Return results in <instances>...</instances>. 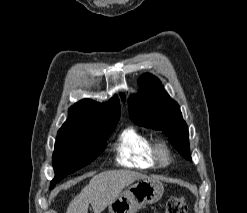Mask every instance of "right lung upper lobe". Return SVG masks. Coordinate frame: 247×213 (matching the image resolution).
Here are the masks:
<instances>
[{
    "label": "right lung upper lobe",
    "instance_id": "1",
    "mask_svg": "<svg viewBox=\"0 0 247 213\" xmlns=\"http://www.w3.org/2000/svg\"><path fill=\"white\" fill-rule=\"evenodd\" d=\"M120 117L119 99L109 103L83 99L69 108V117L58 133H87L117 123Z\"/></svg>",
    "mask_w": 247,
    "mask_h": 213
}]
</instances>
